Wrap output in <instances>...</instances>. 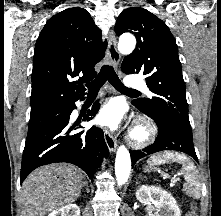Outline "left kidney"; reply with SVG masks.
<instances>
[{"label":"left kidney","instance_id":"1","mask_svg":"<svg viewBox=\"0 0 221 216\" xmlns=\"http://www.w3.org/2000/svg\"><path fill=\"white\" fill-rule=\"evenodd\" d=\"M136 198L141 203H152L162 209L161 215L157 216H181L174 197L160 187L142 185L136 191Z\"/></svg>","mask_w":221,"mask_h":216}]
</instances>
